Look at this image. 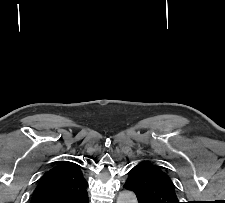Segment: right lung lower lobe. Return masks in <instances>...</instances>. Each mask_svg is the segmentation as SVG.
Wrapping results in <instances>:
<instances>
[{"label": "right lung lower lobe", "instance_id": "1", "mask_svg": "<svg viewBox=\"0 0 225 203\" xmlns=\"http://www.w3.org/2000/svg\"><path fill=\"white\" fill-rule=\"evenodd\" d=\"M76 203H88V194L85 195V197L81 198L79 201Z\"/></svg>", "mask_w": 225, "mask_h": 203}]
</instances>
